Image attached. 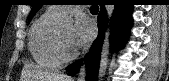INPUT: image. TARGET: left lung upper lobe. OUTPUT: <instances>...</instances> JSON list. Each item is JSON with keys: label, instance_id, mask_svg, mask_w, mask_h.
<instances>
[{"label": "left lung upper lobe", "instance_id": "5c2ea615", "mask_svg": "<svg viewBox=\"0 0 169 81\" xmlns=\"http://www.w3.org/2000/svg\"><path fill=\"white\" fill-rule=\"evenodd\" d=\"M43 0H33V7L29 16V21L32 19L34 14L38 11V9L43 5Z\"/></svg>", "mask_w": 169, "mask_h": 81}]
</instances>
